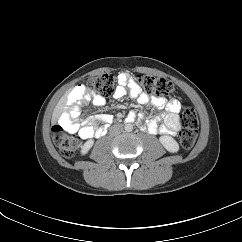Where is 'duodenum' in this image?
<instances>
[{"instance_id":"duodenum-1","label":"duodenum","mask_w":242,"mask_h":242,"mask_svg":"<svg viewBox=\"0 0 242 242\" xmlns=\"http://www.w3.org/2000/svg\"><path fill=\"white\" fill-rule=\"evenodd\" d=\"M104 133H105V129H104V131L101 134H104Z\"/></svg>"}]
</instances>
